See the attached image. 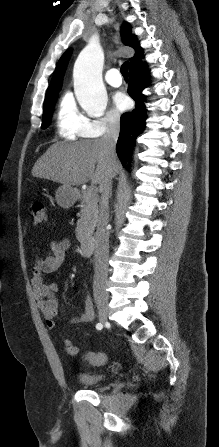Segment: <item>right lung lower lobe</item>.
<instances>
[{
  "instance_id": "obj_1",
  "label": "right lung lower lobe",
  "mask_w": 219,
  "mask_h": 447,
  "mask_svg": "<svg viewBox=\"0 0 219 447\" xmlns=\"http://www.w3.org/2000/svg\"><path fill=\"white\" fill-rule=\"evenodd\" d=\"M147 67L140 63L129 71L128 94L135 100L136 107L132 112L124 113L120 119V135L116 145L117 154L127 168V161L130 159L131 150L135 145L137 136L145 128L146 108L142 90L148 85Z\"/></svg>"
}]
</instances>
